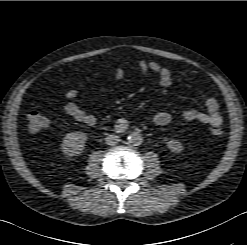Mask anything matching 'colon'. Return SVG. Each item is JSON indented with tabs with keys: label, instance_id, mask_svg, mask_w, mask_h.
Returning <instances> with one entry per match:
<instances>
[{
	"label": "colon",
	"instance_id": "colon-1",
	"mask_svg": "<svg viewBox=\"0 0 247 245\" xmlns=\"http://www.w3.org/2000/svg\"><path fill=\"white\" fill-rule=\"evenodd\" d=\"M48 124L47 118L38 111H32L28 114V129L31 133L37 134L41 132ZM213 135H221L223 131L219 127L211 129Z\"/></svg>",
	"mask_w": 247,
	"mask_h": 245
}]
</instances>
